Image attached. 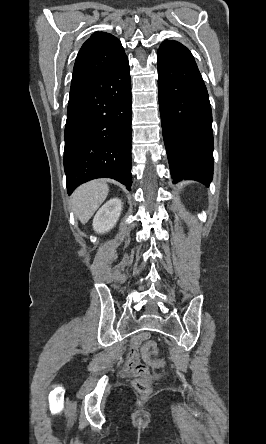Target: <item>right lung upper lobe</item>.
<instances>
[{
    "label": "right lung upper lobe",
    "instance_id": "right-lung-upper-lobe-1",
    "mask_svg": "<svg viewBox=\"0 0 266 444\" xmlns=\"http://www.w3.org/2000/svg\"><path fill=\"white\" fill-rule=\"evenodd\" d=\"M125 56L119 39L105 32H95L78 52L71 81L73 95L96 81Z\"/></svg>",
    "mask_w": 266,
    "mask_h": 444
}]
</instances>
